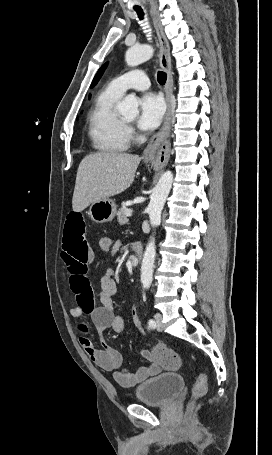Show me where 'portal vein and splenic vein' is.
I'll use <instances>...</instances> for the list:
<instances>
[{"mask_svg":"<svg viewBox=\"0 0 272 455\" xmlns=\"http://www.w3.org/2000/svg\"><path fill=\"white\" fill-rule=\"evenodd\" d=\"M126 216H127V217L132 216V210H131V209H128V210L126 211Z\"/></svg>","mask_w":272,"mask_h":455,"instance_id":"obj_1","label":"portal vein and splenic vein"}]
</instances>
